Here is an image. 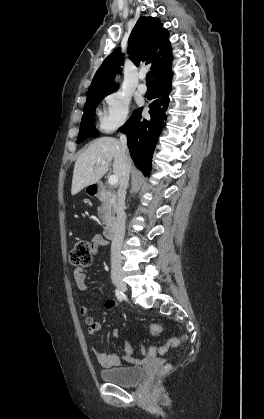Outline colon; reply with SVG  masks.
<instances>
[{
  "instance_id": "colon-1",
  "label": "colon",
  "mask_w": 264,
  "mask_h": 419,
  "mask_svg": "<svg viewBox=\"0 0 264 419\" xmlns=\"http://www.w3.org/2000/svg\"><path fill=\"white\" fill-rule=\"evenodd\" d=\"M69 259L71 264L86 268L89 267L92 263V248L91 244L84 239L78 240L74 247L70 251ZM154 333H157V328L154 327ZM180 341L177 338H172L170 342V348L177 347L179 345ZM171 366L169 364H166L162 368V372L166 373L170 370Z\"/></svg>"
}]
</instances>
